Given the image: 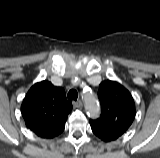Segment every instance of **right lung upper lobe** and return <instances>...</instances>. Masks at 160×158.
Returning a JSON list of instances; mask_svg holds the SVG:
<instances>
[{
  "instance_id": "cb5924a9",
  "label": "right lung upper lobe",
  "mask_w": 160,
  "mask_h": 158,
  "mask_svg": "<svg viewBox=\"0 0 160 158\" xmlns=\"http://www.w3.org/2000/svg\"><path fill=\"white\" fill-rule=\"evenodd\" d=\"M72 103L63 88L49 81L34 84L21 105L26 126L41 138H54L63 132Z\"/></svg>"
}]
</instances>
